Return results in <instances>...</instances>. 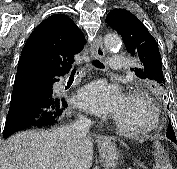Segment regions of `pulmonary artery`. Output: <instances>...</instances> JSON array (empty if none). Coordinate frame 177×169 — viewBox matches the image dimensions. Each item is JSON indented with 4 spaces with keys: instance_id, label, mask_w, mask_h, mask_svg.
<instances>
[{
    "instance_id": "pulmonary-artery-1",
    "label": "pulmonary artery",
    "mask_w": 177,
    "mask_h": 169,
    "mask_svg": "<svg viewBox=\"0 0 177 169\" xmlns=\"http://www.w3.org/2000/svg\"><path fill=\"white\" fill-rule=\"evenodd\" d=\"M125 60L121 56H112L109 59L110 71H122L124 68Z\"/></svg>"
}]
</instances>
